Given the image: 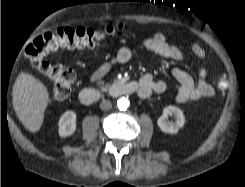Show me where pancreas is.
Returning <instances> with one entry per match:
<instances>
[{
  "label": "pancreas",
  "mask_w": 245,
  "mask_h": 187,
  "mask_svg": "<svg viewBox=\"0 0 245 187\" xmlns=\"http://www.w3.org/2000/svg\"><path fill=\"white\" fill-rule=\"evenodd\" d=\"M109 86V84H106L104 87L107 88Z\"/></svg>",
  "instance_id": "cf45deb5"
}]
</instances>
